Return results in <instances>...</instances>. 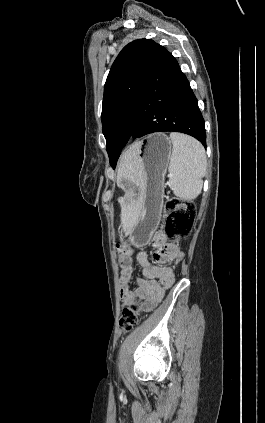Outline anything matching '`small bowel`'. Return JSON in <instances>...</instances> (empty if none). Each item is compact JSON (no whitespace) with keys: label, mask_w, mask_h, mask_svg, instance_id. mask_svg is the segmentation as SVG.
Here are the masks:
<instances>
[{"label":"small bowel","mask_w":265,"mask_h":423,"mask_svg":"<svg viewBox=\"0 0 265 423\" xmlns=\"http://www.w3.org/2000/svg\"><path fill=\"white\" fill-rule=\"evenodd\" d=\"M151 244L156 249L153 253V262L149 261L145 252H140L137 255L143 276L135 278V283L138 285L135 290L130 289L133 278L131 250L126 259L122 260L119 257L121 304L123 307H127L137 304L141 300V311L144 313L152 311L163 300L165 291L175 281L172 268L166 264H177L184 258V253L178 246L168 243L164 232L161 230L154 233Z\"/></svg>","instance_id":"small-bowel-1"}]
</instances>
